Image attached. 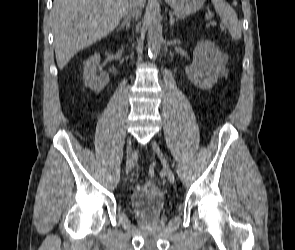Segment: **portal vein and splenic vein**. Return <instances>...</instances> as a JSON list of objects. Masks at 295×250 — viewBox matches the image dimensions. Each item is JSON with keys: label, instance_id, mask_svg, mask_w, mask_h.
Wrapping results in <instances>:
<instances>
[{"label": "portal vein and splenic vein", "instance_id": "18ae733b", "mask_svg": "<svg viewBox=\"0 0 295 250\" xmlns=\"http://www.w3.org/2000/svg\"><path fill=\"white\" fill-rule=\"evenodd\" d=\"M211 18H212V14H206V15H205V19H206L207 21H209Z\"/></svg>", "mask_w": 295, "mask_h": 250}]
</instances>
